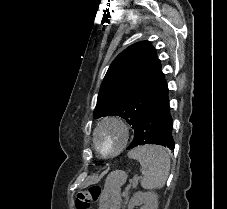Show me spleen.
I'll return each instance as SVG.
<instances>
[{"label": "spleen", "instance_id": "obj_1", "mask_svg": "<svg viewBox=\"0 0 227 209\" xmlns=\"http://www.w3.org/2000/svg\"><path fill=\"white\" fill-rule=\"evenodd\" d=\"M129 159H136L141 165L143 189H162L170 169V157L158 145H144L128 153Z\"/></svg>", "mask_w": 227, "mask_h": 209}]
</instances>
